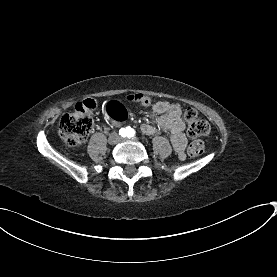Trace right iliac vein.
Returning a JSON list of instances; mask_svg holds the SVG:
<instances>
[{
    "instance_id": "right-iliac-vein-1",
    "label": "right iliac vein",
    "mask_w": 277,
    "mask_h": 277,
    "mask_svg": "<svg viewBox=\"0 0 277 277\" xmlns=\"http://www.w3.org/2000/svg\"><path fill=\"white\" fill-rule=\"evenodd\" d=\"M110 144H115L119 141V137L116 134H112L108 139Z\"/></svg>"
}]
</instances>
